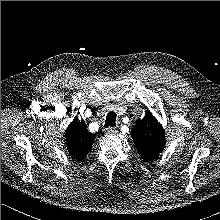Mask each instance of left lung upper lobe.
Listing matches in <instances>:
<instances>
[{
  "instance_id": "5c2ea615",
  "label": "left lung upper lobe",
  "mask_w": 220,
  "mask_h": 220,
  "mask_svg": "<svg viewBox=\"0 0 220 220\" xmlns=\"http://www.w3.org/2000/svg\"><path fill=\"white\" fill-rule=\"evenodd\" d=\"M131 136L138 154L146 161L156 158L164 149V129L151 112H147L143 119L137 120L131 130Z\"/></svg>"
}]
</instances>
